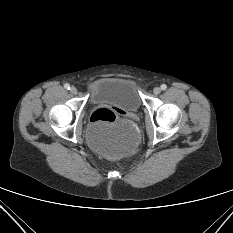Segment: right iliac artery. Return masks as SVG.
Returning <instances> with one entry per match:
<instances>
[{"label":"right iliac artery","instance_id":"82829eb1","mask_svg":"<svg viewBox=\"0 0 233 233\" xmlns=\"http://www.w3.org/2000/svg\"><path fill=\"white\" fill-rule=\"evenodd\" d=\"M64 88L67 89V90H69V89H70V85H69L68 83H66V84L64 85Z\"/></svg>","mask_w":233,"mask_h":233}]
</instances>
